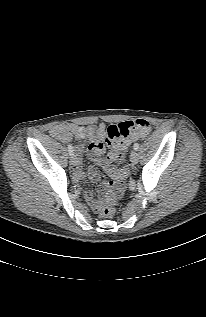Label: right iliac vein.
Segmentation results:
<instances>
[{
	"instance_id": "63e3f726",
	"label": "right iliac vein",
	"mask_w": 206,
	"mask_h": 317,
	"mask_svg": "<svg viewBox=\"0 0 206 317\" xmlns=\"http://www.w3.org/2000/svg\"><path fill=\"white\" fill-rule=\"evenodd\" d=\"M70 163L75 166L77 164V158L75 157V155H72L70 157Z\"/></svg>"
}]
</instances>
